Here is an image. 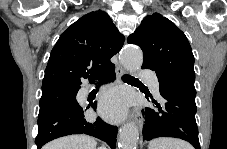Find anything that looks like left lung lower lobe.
Wrapping results in <instances>:
<instances>
[{"label":"left lung lower lobe","mask_w":227,"mask_h":149,"mask_svg":"<svg viewBox=\"0 0 227 149\" xmlns=\"http://www.w3.org/2000/svg\"><path fill=\"white\" fill-rule=\"evenodd\" d=\"M160 83V82H159ZM161 103L152 99L155 109L145 107L143 140L157 137L180 138L200 149L198 128L195 120L197 111L195 97L160 84Z\"/></svg>","instance_id":"obj_1"}]
</instances>
